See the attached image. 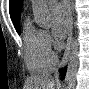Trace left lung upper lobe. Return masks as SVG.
Instances as JSON below:
<instances>
[{
  "label": "left lung upper lobe",
  "mask_w": 89,
  "mask_h": 89,
  "mask_svg": "<svg viewBox=\"0 0 89 89\" xmlns=\"http://www.w3.org/2000/svg\"><path fill=\"white\" fill-rule=\"evenodd\" d=\"M14 2V0H10V10H11V7H12V3Z\"/></svg>",
  "instance_id": "1"
}]
</instances>
